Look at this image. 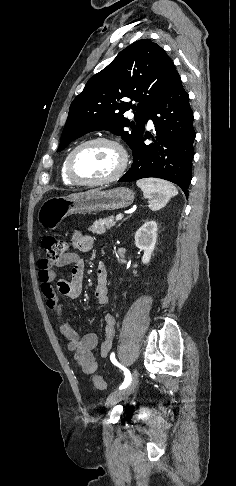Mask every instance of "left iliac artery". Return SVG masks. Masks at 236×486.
Returning a JSON list of instances; mask_svg holds the SVG:
<instances>
[{"instance_id":"obj_1","label":"left iliac artery","mask_w":236,"mask_h":486,"mask_svg":"<svg viewBox=\"0 0 236 486\" xmlns=\"http://www.w3.org/2000/svg\"><path fill=\"white\" fill-rule=\"evenodd\" d=\"M110 359H111V361L114 365L118 366L119 368H121L124 371L125 379H124V382L122 383V385L119 387V389L126 388L130 384L131 379H132L130 371L117 362L114 353H111Z\"/></svg>"}]
</instances>
